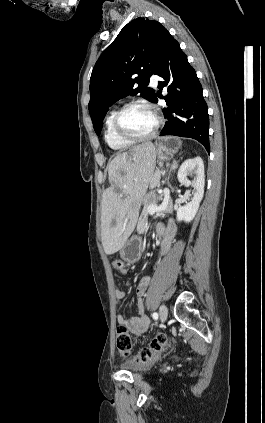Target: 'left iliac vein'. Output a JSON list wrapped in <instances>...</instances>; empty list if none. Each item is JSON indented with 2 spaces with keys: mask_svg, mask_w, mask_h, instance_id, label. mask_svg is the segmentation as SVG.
Returning a JSON list of instances; mask_svg holds the SVG:
<instances>
[{
  "mask_svg": "<svg viewBox=\"0 0 265 423\" xmlns=\"http://www.w3.org/2000/svg\"><path fill=\"white\" fill-rule=\"evenodd\" d=\"M168 316V309L167 307L162 304L159 309V317L162 322H165Z\"/></svg>",
  "mask_w": 265,
  "mask_h": 423,
  "instance_id": "left-iliac-vein-1",
  "label": "left iliac vein"
}]
</instances>
